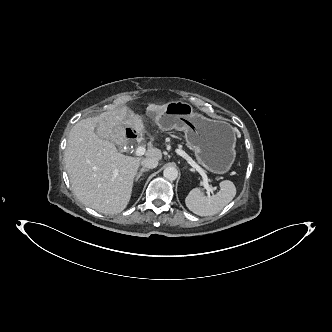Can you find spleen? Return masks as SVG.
<instances>
[{"label":"spleen","mask_w":332,"mask_h":332,"mask_svg":"<svg viewBox=\"0 0 332 332\" xmlns=\"http://www.w3.org/2000/svg\"><path fill=\"white\" fill-rule=\"evenodd\" d=\"M236 195V187L229 180L220 183V190L213 195L204 196L198 188L190 191L185 199L190 211L199 216H210L219 213Z\"/></svg>","instance_id":"1"}]
</instances>
